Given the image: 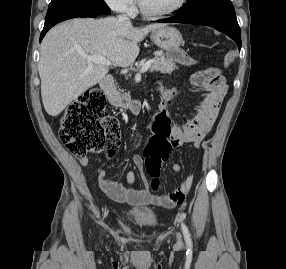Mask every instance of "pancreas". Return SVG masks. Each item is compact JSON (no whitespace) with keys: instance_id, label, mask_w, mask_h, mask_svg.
Returning a JSON list of instances; mask_svg holds the SVG:
<instances>
[{"instance_id":"cf45deb5","label":"pancreas","mask_w":286,"mask_h":269,"mask_svg":"<svg viewBox=\"0 0 286 269\" xmlns=\"http://www.w3.org/2000/svg\"><path fill=\"white\" fill-rule=\"evenodd\" d=\"M155 59L152 60V64L150 66V71H159L163 74L172 73L176 67L175 63L169 59H166L163 55L156 53Z\"/></svg>"}]
</instances>
